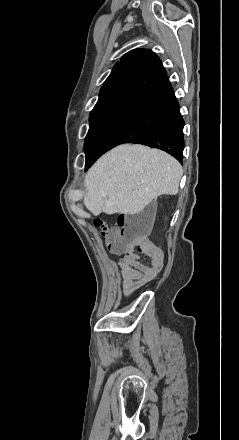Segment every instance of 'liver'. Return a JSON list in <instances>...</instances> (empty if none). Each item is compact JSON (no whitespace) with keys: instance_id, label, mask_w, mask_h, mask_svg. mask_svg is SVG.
I'll list each match as a JSON object with an SVG mask.
<instances>
[{"instance_id":"6515ba94","label":"liver","mask_w":239,"mask_h":440,"mask_svg":"<svg viewBox=\"0 0 239 440\" xmlns=\"http://www.w3.org/2000/svg\"><path fill=\"white\" fill-rule=\"evenodd\" d=\"M183 168L175 158L140 144L113 148L87 172L84 206L93 214H139L161 194H178Z\"/></svg>"}]
</instances>
